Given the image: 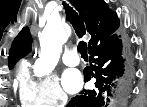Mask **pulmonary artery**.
<instances>
[{
  "mask_svg": "<svg viewBox=\"0 0 147 107\" xmlns=\"http://www.w3.org/2000/svg\"><path fill=\"white\" fill-rule=\"evenodd\" d=\"M62 59L67 66H77L80 62L77 52L71 49L64 53Z\"/></svg>",
  "mask_w": 147,
  "mask_h": 107,
  "instance_id": "obj_1",
  "label": "pulmonary artery"
}]
</instances>
